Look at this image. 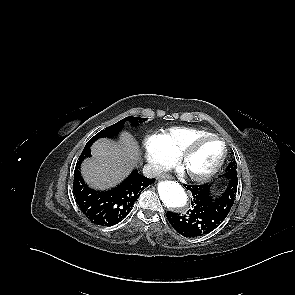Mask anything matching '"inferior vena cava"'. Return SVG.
Returning <instances> with one entry per match:
<instances>
[{
  "label": "inferior vena cava",
  "instance_id": "1",
  "mask_svg": "<svg viewBox=\"0 0 295 295\" xmlns=\"http://www.w3.org/2000/svg\"><path fill=\"white\" fill-rule=\"evenodd\" d=\"M163 172V169L160 165L156 164H146L143 167V174L148 178H153L159 176Z\"/></svg>",
  "mask_w": 295,
  "mask_h": 295
}]
</instances>
